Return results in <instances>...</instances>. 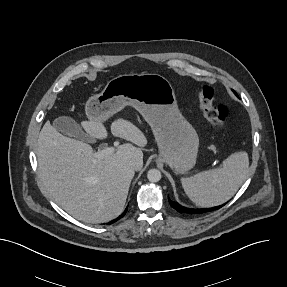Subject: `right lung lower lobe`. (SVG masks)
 <instances>
[{
  "instance_id": "obj_1",
  "label": "right lung lower lobe",
  "mask_w": 287,
  "mask_h": 287,
  "mask_svg": "<svg viewBox=\"0 0 287 287\" xmlns=\"http://www.w3.org/2000/svg\"><path fill=\"white\" fill-rule=\"evenodd\" d=\"M125 213H126V210H125V212H124L123 214H121L118 218L114 219L113 221L109 222L108 224H112V223L116 222L117 220H119L120 218H122V217L125 215Z\"/></svg>"
}]
</instances>
